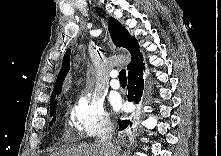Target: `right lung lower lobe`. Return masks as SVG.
Wrapping results in <instances>:
<instances>
[{"label": "right lung lower lobe", "mask_w": 221, "mask_h": 156, "mask_svg": "<svg viewBox=\"0 0 221 156\" xmlns=\"http://www.w3.org/2000/svg\"><path fill=\"white\" fill-rule=\"evenodd\" d=\"M143 69L144 65L133 68L128 72V100L138 103L141 100L143 89H144V79H143ZM131 126L132 122L130 120L120 121L119 130H123L127 126Z\"/></svg>", "instance_id": "1"}]
</instances>
